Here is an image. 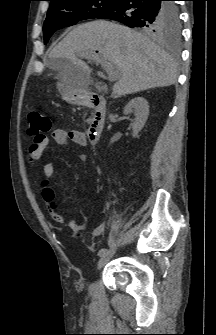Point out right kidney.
I'll return each instance as SVG.
<instances>
[{
	"instance_id": "ca27d5eb",
	"label": "right kidney",
	"mask_w": 216,
	"mask_h": 335,
	"mask_svg": "<svg viewBox=\"0 0 216 335\" xmlns=\"http://www.w3.org/2000/svg\"><path fill=\"white\" fill-rule=\"evenodd\" d=\"M125 115L134 113L135 118L131 122L133 137L143 129L149 115V104L144 97H136L132 99L123 110Z\"/></svg>"
}]
</instances>
